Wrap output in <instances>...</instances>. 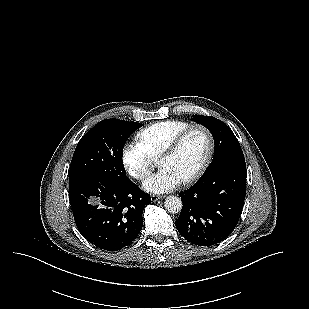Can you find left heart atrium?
I'll list each match as a JSON object with an SVG mask.
<instances>
[{"label": "left heart atrium", "instance_id": "obj_1", "mask_svg": "<svg viewBox=\"0 0 309 309\" xmlns=\"http://www.w3.org/2000/svg\"><path fill=\"white\" fill-rule=\"evenodd\" d=\"M182 180L170 169L162 168L158 173L151 176L144 183V189L155 193L163 194L176 189Z\"/></svg>", "mask_w": 309, "mask_h": 309}]
</instances>
